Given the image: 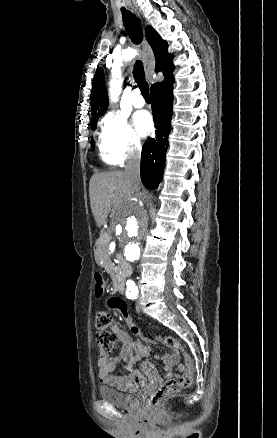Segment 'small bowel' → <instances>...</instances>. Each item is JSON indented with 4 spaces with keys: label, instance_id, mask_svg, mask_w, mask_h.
I'll return each instance as SVG.
<instances>
[{
    "label": "small bowel",
    "instance_id": "c3829d8e",
    "mask_svg": "<svg viewBox=\"0 0 277 438\" xmlns=\"http://www.w3.org/2000/svg\"><path fill=\"white\" fill-rule=\"evenodd\" d=\"M118 311L125 317L128 323H131L125 310ZM110 331L116 335L122 344L121 355L119 357H112L109 359H100L97 363V376L99 381L105 385L117 388L121 391H128L133 389L135 386V379L137 377L135 366L137 362L140 359L146 358L150 355V348L147 345H143L134 341L127 334L138 333V340H145V333H139L140 328L137 325L127 326L126 333L118 324L115 323L111 325ZM121 360L125 362V368L128 370V374L123 376L111 375ZM141 369L145 374L152 372L151 361L145 360L141 366ZM163 369L166 378H171L173 376L182 374L185 371V366L181 363L179 354L177 352H173L165 356Z\"/></svg>",
    "mask_w": 277,
    "mask_h": 438
}]
</instances>
